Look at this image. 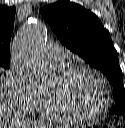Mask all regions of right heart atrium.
Here are the masks:
<instances>
[{
  "instance_id": "obj_1",
  "label": "right heart atrium",
  "mask_w": 125,
  "mask_h": 128,
  "mask_svg": "<svg viewBox=\"0 0 125 128\" xmlns=\"http://www.w3.org/2000/svg\"><path fill=\"white\" fill-rule=\"evenodd\" d=\"M7 80L13 106L26 114L35 113L44 98L43 94L26 76L15 69L8 73Z\"/></svg>"
}]
</instances>
